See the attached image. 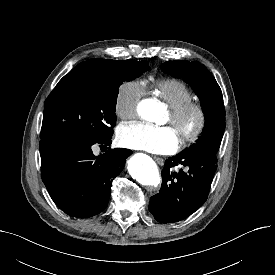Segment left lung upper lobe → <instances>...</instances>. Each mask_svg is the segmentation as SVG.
I'll list each match as a JSON object with an SVG mask.
<instances>
[{
    "label": "left lung upper lobe",
    "instance_id": "5c2ea615",
    "mask_svg": "<svg viewBox=\"0 0 275 275\" xmlns=\"http://www.w3.org/2000/svg\"><path fill=\"white\" fill-rule=\"evenodd\" d=\"M161 69L190 84L201 101L206 118L205 127L197 142L181 153H217L225 129V109L222 92L215 78L203 64L196 61H168L161 65Z\"/></svg>",
    "mask_w": 275,
    "mask_h": 275
}]
</instances>
